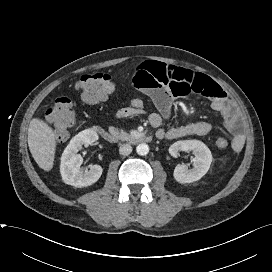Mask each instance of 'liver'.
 Wrapping results in <instances>:
<instances>
[{
	"label": "liver",
	"mask_w": 272,
	"mask_h": 272,
	"mask_svg": "<svg viewBox=\"0 0 272 272\" xmlns=\"http://www.w3.org/2000/svg\"><path fill=\"white\" fill-rule=\"evenodd\" d=\"M56 145L53 129L43 120L33 118L28 129V146L41 169L50 171L53 168Z\"/></svg>",
	"instance_id": "1"
}]
</instances>
